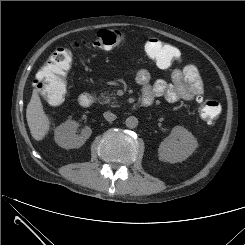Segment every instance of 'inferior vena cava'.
Masks as SVG:
<instances>
[{"mask_svg": "<svg viewBox=\"0 0 245 245\" xmlns=\"http://www.w3.org/2000/svg\"><path fill=\"white\" fill-rule=\"evenodd\" d=\"M103 116H104V118H105L108 122H112V121H114V120L117 118V116H116L114 113L110 112V111L104 112V113H103Z\"/></svg>", "mask_w": 245, "mask_h": 245, "instance_id": "602c4592", "label": "inferior vena cava"}]
</instances>
